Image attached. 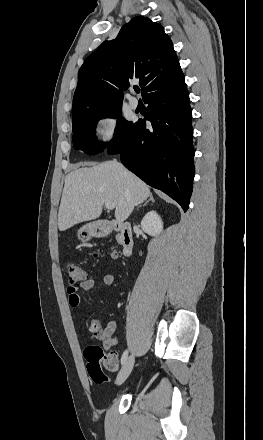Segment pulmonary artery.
Segmentation results:
<instances>
[{"instance_id": "pulmonary-artery-1", "label": "pulmonary artery", "mask_w": 263, "mask_h": 440, "mask_svg": "<svg viewBox=\"0 0 263 440\" xmlns=\"http://www.w3.org/2000/svg\"><path fill=\"white\" fill-rule=\"evenodd\" d=\"M128 102L131 108L136 109L138 107V100L135 97L129 96Z\"/></svg>"}]
</instances>
